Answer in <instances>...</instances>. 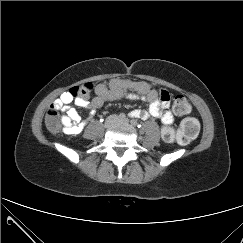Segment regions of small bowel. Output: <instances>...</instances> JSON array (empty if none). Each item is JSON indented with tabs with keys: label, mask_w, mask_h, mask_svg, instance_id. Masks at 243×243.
I'll list each match as a JSON object with an SVG mask.
<instances>
[{
	"label": "small bowel",
	"mask_w": 243,
	"mask_h": 243,
	"mask_svg": "<svg viewBox=\"0 0 243 243\" xmlns=\"http://www.w3.org/2000/svg\"><path fill=\"white\" fill-rule=\"evenodd\" d=\"M162 94L165 95L164 99L161 98ZM122 97L149 103L148 111L134 109L129 113L130 117L143 120L149 117L159 118L165 127L173 124L174 117L169 110L170 95L166 90L158 91L144 81L111 79L105 89L96 88L95 97L90 101L81 97H74L69 91L62 93L54 101V104L61 112L63 132L67 135H78L85 126V122L81 120L77 110L71 106L72 103L78 107L90 108V116H93L96 109L100 108L106 101H114Z\"/></svg>",
	"instance_id": "1"
}]
</instances>
